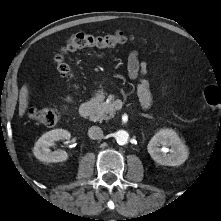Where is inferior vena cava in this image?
<instances>
[{
	"instance_id": "inferior-vena-cava-1",
	"label": "inferior vena cava",
	"mask_w": 221,
	"mask_h": 221,
	"mask_svg": "<svg viewBox=\"0 0 221 221\" xmlns=\"http://www.w3.org/2000/svg\"><path fill=\"white\" fill-rule=\"evenodd\" d=\"M88 136L93 140L100 139L103 136V131L98 126H92L88 130Z\"/></svg>"
}]
</instances>
